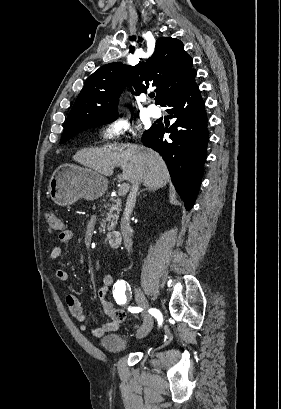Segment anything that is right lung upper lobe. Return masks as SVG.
I'll use <instances>...</instances> for the list:
<instances>
[{
	"label": "right lung upper lobe",
	"mask_w": 281,
	"mask_h": 409,
	"mask_svg": "<svg viewBox=\"0 0 281 409\" xmlns=\"http://www.w3.org/2000/svg\"><path fill=\"white\" fill-rule=\"evenodd\" d=\"M181 41L162 37L156 41L154 54L135 66L120 62L106 64L96 70L69 113L65 128L82 127L117 115L118 98L126 84L136 92L156 87V103L162 105L188 80L194 69L192 58Z\"/></svg>",
	"instance_id": "1"
}]
</instances>
